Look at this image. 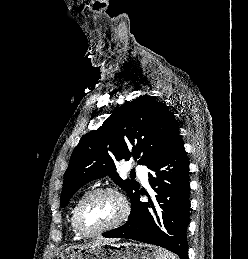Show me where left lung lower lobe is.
<instances>
[{
    "instance_id": "obj_1",
    "label": "left lung lower lobe",
    "mask_w": 248,
    "mask_h": 259,
    "mask_svg": "<svg viewBox=\"0 0 248 259\" xmlns=\"http://www.w3.org/2000/svg\"><path fill=\"white\" fill-rule=\"evenodd\" d=\"M149 183L162 212L156 218L151 215L148 203L141 202L140 192L131 200L132 211L128 221L103 236L128 238L166 248L181 259H188L186 230L190 215L189 163L183 142H179L163 155L151 168Z\"/></svg>"
}]
</instances>
